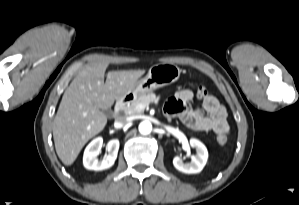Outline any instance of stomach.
<instances>
[{"instance_id":"stomach-1","label":"stomach","mask_w":299,"mask_h":205,"mask_svg":"<svg viewBox=\"0 0 299 205\" xmlns=\"http://www.w3.org/2000/svg\"><path fill=\"white\" fill-rule=\"evenodd\" d=\"M181 70L173 64H155L150 67L147 75L138 80L133 88L124 96L127 100H134L142 95L170 85L180 77Z\"/></svg>"}]
</instances>
